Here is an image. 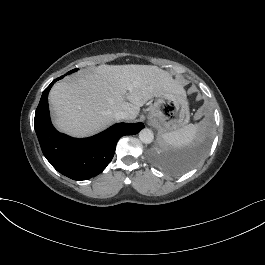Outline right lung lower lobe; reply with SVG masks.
Segmentation results:
<instances>
[{
  "label": "right lung lower lobe",
  "mask_w": 265,
  "mask_h": 265,
  "mask_svg": "<svg viewBox=\"0 0 265 265\" xmlns=\"http://www.w3.org/2000/svg\"><path fill=\"white\" fill-rule=\"evenodd\" d=\"M63 77V76H62ZM55 79L43 92L35 112L34 127L44 156L63 175L86 180L101 173L111 162L116 144L124 135L137 134L142 123H118L89 138L76 139L59 133L52 125L48 93Z\"/></svg>",
  "instance_id": "obj_1"
}]
</instances>
